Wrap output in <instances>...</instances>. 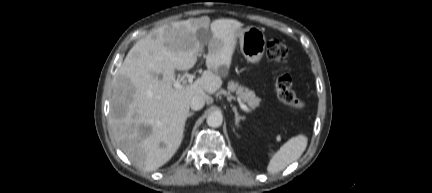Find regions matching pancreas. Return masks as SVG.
<instances>
[{
    "mask_svg": "<svg viewBox=\"0 0 432 193\" xmlns=\"http://www.w3.org/2000/svg\"><path fill=\"white\" fill-rule=\"evenodd\" d=\"M228 90L235 92L236 96L242 102H245L250 108L255 109L260 105L261 99L257 97L254 91L239 85L234 81L228 83Z\"/></svg>",
    "mask_w": 432,
    "mask_h": 193,
    "instance_id": "pancreas-1",
    "label": "pancreas"
}]
</instances>
